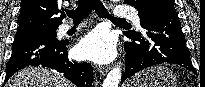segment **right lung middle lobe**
Masks as SVG:
<instances>
[{"instance_id": "obj_1", "label": "right lung middle lobe", "mask_w": 205, "mask_h": 87, "mask_svg": "<svg viewBox=\"0 0 205 87\" xmlns=\"http://www.w3.org/2000/svg\"><path fill=\"white\" fill-rule=\"evenodd\" d=\"M56 30L57 29H49V30L37 31V32H39V33H47V34H56L57 33ZM32 33H34V32H32ZM21 35H23V34H21ZM16 36H19V35H16Z\"/></svg>"}]
</instances>
